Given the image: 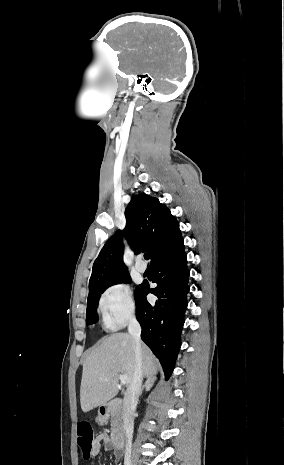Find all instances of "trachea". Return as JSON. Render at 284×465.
I'll use <instances>...</instances> for the list:
<instances>
[{
    "label": "trachea",
    "mask_w": 284,
    "mask_h": 465,
    "mask_svg": "<svg viewBox=\"0 0 284 465\" xmlns=\"http://www.w3.org/2000/svg\"><path fill=\"white\" fill-rule=\"evenodd\" d=\"M144 258L145 260H148L149 259V255L147 253L144 254Z\"/></svg>",
    "instance_id": "trachea-1"
}]
</instances>
